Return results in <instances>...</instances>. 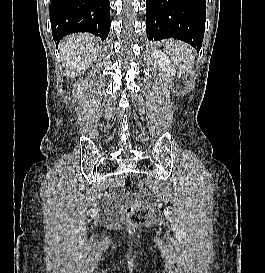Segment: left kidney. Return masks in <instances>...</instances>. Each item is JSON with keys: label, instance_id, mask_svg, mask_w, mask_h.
<instances>
[{"label": "left kidney", "instance_id": "left-kidney-1", "mask_svg": "<svg viewBox=\"0 0 265 273\" xmlns=\"http://www.w3.org/2000/svg\"><path fill=\"white\" fill-rule=\"evenodd\" d=\"M153 58L155 59V63H157L162 71L166 72L167 74L175 75V67L166 54L160 50H155L153 53Z\"/></svg>", "mask_w": 265, "mask_h": 273}]
</instances>
